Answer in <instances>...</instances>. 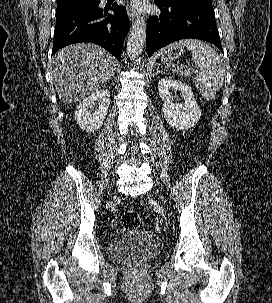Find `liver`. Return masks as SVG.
<instances>
[{"mask_svg": "<svg viewBox=\"0 0 272 303\" xmlns=\"http://www.w3.org/2000/svg\"><path fill=\"white\" fill-rule=\"evenodd\" d=\"M52 63L55 89L67 105L101 90L117 65L115 57L92 43L64 47L54 55Z\"/></svg>", "mask_w": 272, "mask_h": 303, "instance_id": "obj_1", "label": "liver"}]
</instances>
